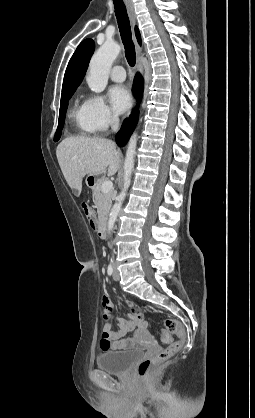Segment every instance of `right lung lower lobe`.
I'll list each match as a JSON object with an SVG mask.
<instances>
[{
  "label": "right lung lower lobe",
  "mask_w": 255,
  "mask_h": 418,
  "mask_svg": "<svg viewBox=\"0 0 255 418\" xmlns=\"http://www.w3.org/2000/svg\"><path fill=\"white\" fill-rule=\"evenodd\" d=\"M133 92L135 97L140 101L143 93V79L142 76L138 73L135 76L133 84ZM138 119V112L134 111L130 118H127L120 131L116 135V142L119 146H123L128 141L130 134L133 132Z\"/></svg>",
  "instance_id": "obj_1"
}]
</instances>
